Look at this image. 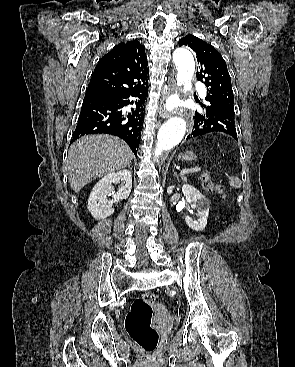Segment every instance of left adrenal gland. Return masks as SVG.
Returning <instances> with one entry per match:
<instances>
[{"instance_id": "a2214340", "label": "left adrenal gland", "mask_w": 295, "mask_h": 367, "mask_svg": "<svg viewBox=\"0 0 295 367\" xmlns=\"http://www.w3.org/2000/svg\"><path fill=\"white\" fill-rule=\"evenodd\" d=\"M173 172H174V170H173ZM174 176H175V177H178L176 172H174Z\"/></svg>"}]
</instances>
